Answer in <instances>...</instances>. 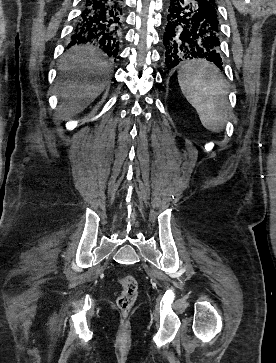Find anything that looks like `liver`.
<instances>
[{"mask_svg": "<svg viewBox=\"0 0 276 363\" xmlns=\"http://www.w3.org/2000/svg\"><path fill=\"white\" fill-rule=\"evenodd\" d=\"M58 69L67 77L56 87L60 98L70 100L69 105L60 108V113L68 117L81 112L101 94L105 88L102 78L109 73L110 63L96 47L76 45L62 57ZM71 74L78 79L70 80Z\"/></svg>", "mask_w": 276, "mask_h": 363, "instance_id": "1", "label": "liver"}]
</instances>
